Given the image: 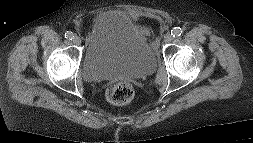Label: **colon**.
<instances>
[{"instance_id":"5ec220e1","label":"colon","mask_w":253,"mask_h":143,"mask_svg":"<svg viewBox=\"0 0 253 143\" xmlns=\"http://www.w3.org/2000/svg\"><path fill=\"white\" fill-rule=\"evenodd\" d=\"M133 97L134 88L126 81L114 82L106 90V98L112 104H127L133 99Z\"/></svg>"}]
</instances>
